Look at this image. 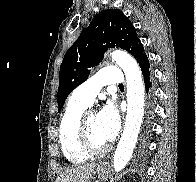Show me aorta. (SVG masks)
I'll return each instance as SVG.
<instances>
[{"label": "aorta", "mask_w": 196, "mask_h": 182, "mask_svg": "<svg viewBox=\"0 0 196 182\" xmlns=\"http://www.w3.org/2000/svg\"><path fill=\"white\" fill-rule=\"evenodd\" d=\"M111 56L124 71L127 82L126 121L113 158L114 169L119 172L129 162L137 142L144 112L145 90L141 71L135 59L120 50L112 52Z\"/></svg>", "instance_id": "762f6f07"}]
</instances>
